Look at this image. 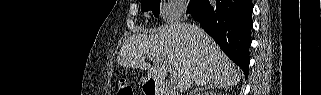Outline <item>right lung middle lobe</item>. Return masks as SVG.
Wrapping results in <instances>:
<instances>
[{"mask_svg":"<svg viewBox=\"0 0 321 95\" xmlns=\"http://www.w3.org/2000/svg\"><path fill=\"white\" fill-rule=\"evenodd\" d=\"M202 0H190L188 12L192 13ZM160 0H141V11L151 10L153 15L157 17L160 13Z\"/></svg>","mask_w":321,"mask_h":95,"instance_id":"obj_1","label":"right lung middle lobe"}]
</instances>
